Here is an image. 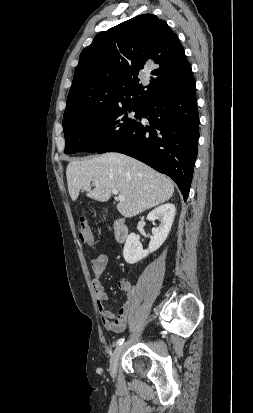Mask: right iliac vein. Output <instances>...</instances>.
Instances as JSON below:
<instances>
[{
	"label": "right iliac vein",
	"mask_w": 253,
	"mask_h": 413,
	"mask_svg": "<svg viewBox=\"0 0 253 413\" xmlns=\"http://www.w3.org/2000/svg\"><path fill=\"white\" fill-rule=\"evenodd\" d=\"M123 348L124 345L117 346L110 357L109 372L112 377L116 375L119 358L123 351Z\"/></svg>",
	"instance_id": "63e3f726"
}]
</instances>
